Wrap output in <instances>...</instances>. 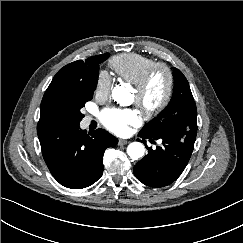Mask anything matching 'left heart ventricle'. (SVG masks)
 <instances>
[{
    "mask_svg": "<svg viewBox=\"0 0 243 243\" xmlns=\"http://www.w3.org/2000/svg\"><path fill=\"white\" fill-rule=\"evenodd\" d=\"M166 85V75L162 70L155 71L148 83L144 94V101L146 103H151L157 100L163 93ZM132 99L136 102L135 91L132 93Z\"/></svg>",
    "mask_w": 243,
    "mask_h": 243,
    "instance_id": "1",
    "label": "left heart ventricle"
}]
</instances>
